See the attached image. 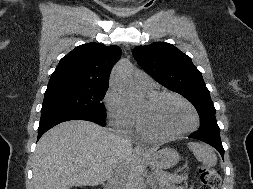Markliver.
<instances>
[{
	"mask_svg": "<svg viewBox=\"0 0 253 189\" xmlns=\"http://www.w3.org/2000/svg\"><path fill=\"white\" fill-rule=\"evenodd\" d=\"M134 157L132 150L118 147L106 128L84 120L63 122L47 131L37 143L33 189L97 186L108 179L114 165L128 168Z\"/></svg>",
	"mask_w": 253,
	"mask_h": 189,
	"instance_id": "liver-1",
	"label": "liver"
}]
</instances>
